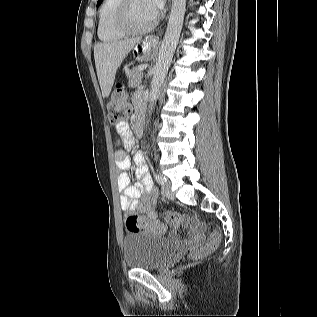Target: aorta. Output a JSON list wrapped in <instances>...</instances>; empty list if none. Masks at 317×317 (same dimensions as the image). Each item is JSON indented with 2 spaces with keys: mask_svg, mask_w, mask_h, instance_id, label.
Listing matches in <instances>:
<instances>
[{
  "mask_svg": "<svg viewBox=\"0 0 317 317\" xmlns=\"http://www.w3.org/2000/svg\"><path fill=\"white\" fill-rule=\"evenodd\" d=\"M185 8L186 0H172V8L167 29L159 49L157 62L153 68V78L149 93V112L153 110L158 99L160 89L167 75L177 43L179 41L183 26Z\"/></svg>",
  "mask_w": 317,
  "mask_h": 317,
  "instance_id": "aorta-1",
  "label": "aorta"
}]
</instances>
